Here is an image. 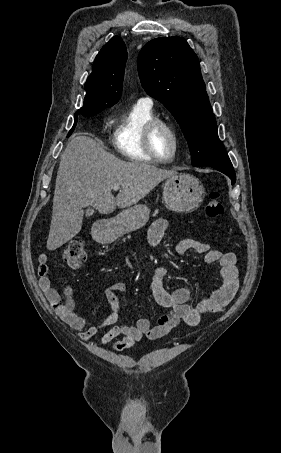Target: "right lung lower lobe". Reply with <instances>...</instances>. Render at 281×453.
I'll return each instance as SVG.
<instances>
[{"instance_id":"obj_1","label":"right lung lower lobe","mask_w":281,"mask_h":453,"mask_svg":"<svg viewBox=\"0 0 281 453\" xmlns=\"http://www.w3.org/2000/svg\"><path fill=\"white\" fill-rule=\"evenodd\" d=\"M99 112H95V111H83V112H79L77 111V113H75V123H74V126L73 128L71 129V131L69 132L68 136L72 133V131L74 130L75 126H76V123H77V116L78 115H84V116H93L95 114H97Z\"/></svg>"}]
</instances>
